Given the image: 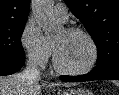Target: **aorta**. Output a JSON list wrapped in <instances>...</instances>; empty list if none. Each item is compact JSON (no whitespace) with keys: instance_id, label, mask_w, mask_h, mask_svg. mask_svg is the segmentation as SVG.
<instances>
[{"instance_id":"1","label":"aorta","mask_w":119,"mask_h":95,"mask_svg":"<svg viewBox=\"0 0 119 95\" xmlns=\"http://www.w3.org/2000/svg\"><path fill=\"white\" fill-rule=\"evenodd\" d=\"M53 5L54 0H34L32 4L33 15L47 39L53 38L63 29V26L54 18Z\"/></svg>"}]
</instances>
